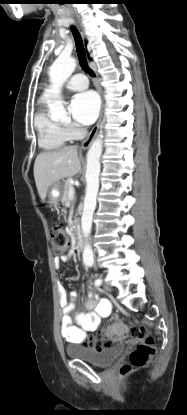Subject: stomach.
<instances>
[{"mask_svg":"<svg viewBox=\"0 0 187 415\" xmlns=\"http://www.w3.org/2000/svg\"><path fill=\"white\" fill-rule=\"evenodd\" d=\"M62 187L60 183H53L47 190V204L50 207H56L60 201Z\"/></svg>","mask_w":187,"mask_h":415,"instance_id":"0dacf381","label":"stomach"}]
</instances>
